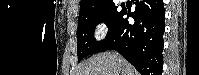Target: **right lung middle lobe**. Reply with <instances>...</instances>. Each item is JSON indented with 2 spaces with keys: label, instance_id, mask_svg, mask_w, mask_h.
<instances>
[{
  "label": "right lung middle lobe",
  "instance_id": "obj_1",
  "mask_svg": "<svg viewBox=\"0 0 199 75\" xmlns=\"http://www.w3.org/2000/svg\"><path fill=\"white\" fill-rule=\"evenodd\" d=\"M122 11H117L113 1L105 3L87 13L79 15L77 28V56L78 61L84 57L96 53L108 40L115 28ZM104 22L109 28L107 37L102 41H95L94 30L96 25Z\"/></svg>",
  "mask_w": 199,
  "mask_h": 75
}]
</instances>
